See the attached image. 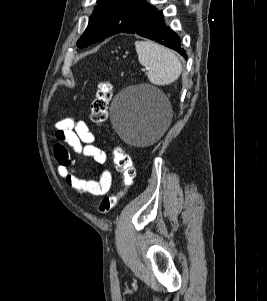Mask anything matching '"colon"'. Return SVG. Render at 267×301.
Instances as JSON below:
<instances>
[{"mask_svg":"<svg viewBox=\"0 0 267 301\" xmlns=\"http://www.w3.org/2000/svg\"><path fill=\"white\" fill-rule=\"evenodd\" d=\"M112 86L104 80L98 85L96 95L90 106V118L95 125H102L108 118V103L111 98ZM116 169L123 177V190L114 196L105 197L99 205L102 213L111 211L126 194V189L132 185L135 178V168L128 153L120 148H115L112 152Z\"/></svg>","mask_w":267,"mask_h":301,"instance_id":"colon-1","label":"colon"}]
</instances>
